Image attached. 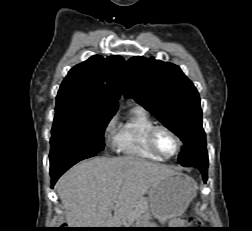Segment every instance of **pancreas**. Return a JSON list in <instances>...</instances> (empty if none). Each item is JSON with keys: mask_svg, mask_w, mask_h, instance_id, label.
Listing matches in <instances>:
<instances>
[{"mask_svg": "<svg viewBox=\"0 0 252 231\" xmlns=\"http://www.w3.org/2000/svg\"><path fill=\"white\" fill-rule=\"evenodd\" d=\"M143 202L141 201V204H142ZM147 222V218L145 217L144 219H143V224L145 225V223Z\"/></svg>", "mask_w": 252, "mask_h": 231, "instance_id": "pancreas-1", "label": "pancreas"}]
</instances>
